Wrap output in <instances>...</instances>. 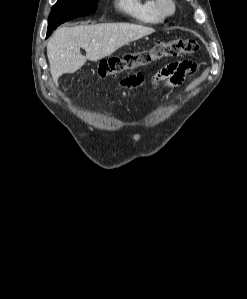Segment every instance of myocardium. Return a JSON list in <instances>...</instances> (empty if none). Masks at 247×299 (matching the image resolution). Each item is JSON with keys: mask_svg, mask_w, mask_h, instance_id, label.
I'll list each match as a JSON object with an SVG mask.
<instances>
[{"mask_svg": "<svg viewBox=\"0 0 247 299\" xmlns=\"http://www.w3.org/2000/svg\"><path fill=\"white\" fill-rule=\"evenodd\" d=\"M157 9L162 17H170L176 12V4L174 0H156Z\"/></svg>", "mask_w": 247, "mask_h": 299, "instance_id": "1", "label": "myocardium"}]
</instances>
